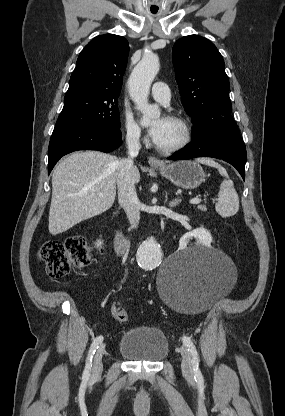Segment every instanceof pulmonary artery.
Instances as JSON below:
<instances>
[{
  "instance_id": "e3ab8cb5",
  "label": "pulmonary artery",
  "mask_w": 285,
  "mask_h": 416,
  "mask_svg": "<svg viewBox=\"0 0 285 416\" xmlns=\"http://www.w3.org/2000/svg\"><path fill=\"white\" fill-rule=\"evenodd\" d=\"M166 86L167 84L164 82H156L152 86V95L160 102H169L171 100V89Z\"/></svg>"
}]
</instances>
